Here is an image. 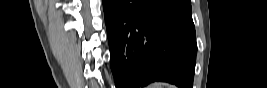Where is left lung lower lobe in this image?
<instances>
[{
	"label": "left lung lower lobe",
	"instance_id": "left-lung-lower-lobe-1",
	"mask_svg": "<svg viewBox=\"0 0 267 88\" xmlns=\"http://www.w3.org/2000/svg\"><path fill=\"white\" fill-rule=\"evenodd\" d=\"M116 88L167 81L192 88L197 45L185 0H103Z\"/></svg>",
	"mask_w": 267,
	"mask_h": 88
}]
</instances>
